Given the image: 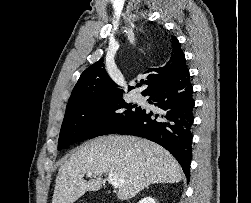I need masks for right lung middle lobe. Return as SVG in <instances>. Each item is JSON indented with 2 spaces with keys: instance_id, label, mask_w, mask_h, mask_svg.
<instances>
[{
  "instance_id": "right-lung-middle-lobe-1",
  "label": "right lung middle lobe",
  "mask_w": 251,
  "mask_h": 203,
  "mask_svg": "<svg viewBox=\"0 0 251 203\" xmlns=\"http://www.w3.org/2000/svg\"><path fill=\"white\" fill-rule=\"evenodd\" d=\"M141 107L126 103L122 97L69 104L58 140V149L86 139L114 134Z\"/></svg>"
}]
</instances>
